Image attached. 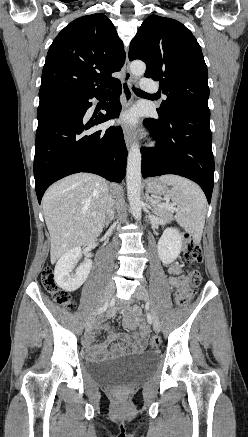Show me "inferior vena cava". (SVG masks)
I'll return each mask as SVG.
<instances>
[{"mask_svg":"<svg viewBox=\"0 0 248 437\" xmlns=\"http://www.w3.org/2000/svg\"><path fill=\"white\" fill-rule=\"evenodd\" d=\"M114 199L113 197L110 195L107 201V205H106V215H107V220H112L114 218Z\"/></svg>","mask_w":248,"mask_h":437,"instance_id":"602c4592","label":"inferior vena cava"}]
</instances>
